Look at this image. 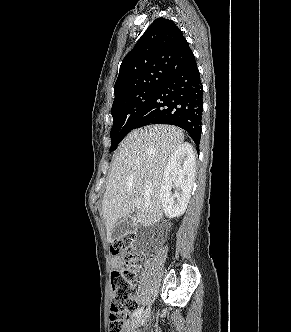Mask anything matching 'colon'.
Returning <instances> with one entry per match:
<instances>
[{
    "instance_id": "5ec220e1",
    "label": "colon",
    "mask_w": 291,
    "mask_h": 332,
    "mask_svg": "<svg viewBox=\"0 0 291 332\" xmlns=\"http://www.w3.org/2000/svg\"><path fill=\"white\" fill-rule=\"evenodd\" d=\"M135 240V235L129 234L115 239L110 244L112 254L120 257L126 265V268L111 274L113 296L110 305V332H123L129 323L131 313L137 307L133 285L141 255L135 249Z\"/></svg>"
}]
</instances>
